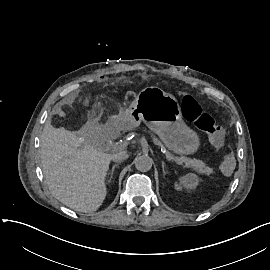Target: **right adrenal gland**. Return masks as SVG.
Segmentation results:
<instances>
[{
  "instance_id": "right-adrenal-gland-1",
  "label": "right adrenal gland",
  "mask_w": 270,
  "mask_h": 270,
  "mask_svg": "<svg viewBox=\"0 0 270 270\" xmlns=\"http://www.w3.org/2000/svg\"><path fill=\"white\" fill-rule=\"evenodd\" d=\"M118 166V164H115V165H113L112 166V169H111V171H110V177H109V180H111V178L113 177V173H114V169L116 168Z\"/></svg>"
}]
</instances>
